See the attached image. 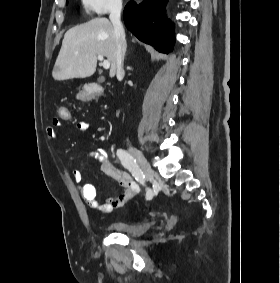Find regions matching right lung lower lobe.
Here are the masks:
<instances>
[{
    "label": "right lung lower lobe",
    "mask_w": 280,
    "mask_h": 283,
    "mask_svg": "<svg viewBox=\"0 0 280 283\" xmlns=\"http://www.w3.org/2000/svg\"><path fill=\"white\" fill-rule=\"evenodd\" d=\"M166 3L167 0H143L138 4L131 1L123 12L127 29L162 53L172 51L175 43L173 25L164 13Z\"/></svg>",
    "instance_id": "obj_1"
}]
</instances>
